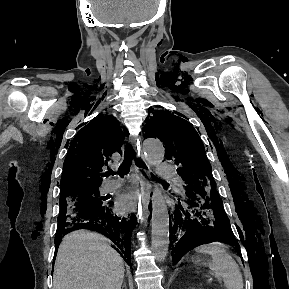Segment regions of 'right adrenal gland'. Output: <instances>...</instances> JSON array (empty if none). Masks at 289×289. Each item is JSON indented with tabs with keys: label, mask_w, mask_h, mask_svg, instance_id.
<instances>
[{
	"label": "right adrenal gland",
	"mask_w": 289,
	"mask_h": 289,
	"mask_svg": "<svg viewBox=\"0 0 289 289\" xmlns=\"http://www.w3.org/2000/svg\"><path fill=\"white\" fill-rule=\"evenodd\" d=\"M122 288L127 289V287H126V281H125V280L123 281V286H122Z\"/></svg>",
	"instance_id": "1"
}]
</instances>
